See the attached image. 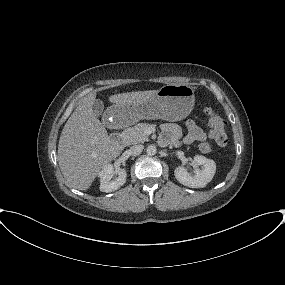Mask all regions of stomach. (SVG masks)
Segmentation results:
<instances>
[{"instance_id": "1", "label": "stomach", "mask_w": 285, "mask_h": 285, "mask_svg": "<svg viewBox=\"0 0 285 285\" xmlns=\"http://www.w3.org/2000/svg\"><path fill=\"white\" fill-rule=\"evenodd\" d=\"M194 103L195 95L192 87L185 84H169L140 103L114 104L109 107V113L119 124L124 125L139 120L178 121L190 114Z\"/></svg>"}]
</instances>
